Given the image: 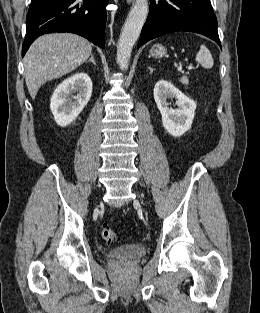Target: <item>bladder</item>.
Wrapping results in <instances>:
<instances>
[{
  "label": "bladder",
  "mask_w": 260,
  "mask_h": 313,
  "mask_svg": "<svg viewBox=\"0 0 260 313\" xmlns=\"http://www.w3.org/2000/svg\"><path fill=\"white\" fill-rule=\"evenodd\" d=\"M146 246L141 242H132L112 248L107 252V257L111 260L133 259L144 256Z\"/></svg>",
  "instance_id": "1"
}]
</instances>
